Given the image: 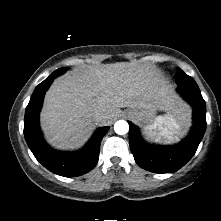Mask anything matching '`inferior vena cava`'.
<instances>
[{
    "label": "inferior vena cava",
    "mask_w": 221,
    "mask_h": 221,
    "mask_svg": "<svg viewBox=\"0 0 221 221\" xmlns=\"http://www.w3.org/2000/svg\"><path fill=\"white\" fill-rule=\"evenodd\" d=\"M93 118L96 122H101L106 118V115L104 113L97 112L94 114Z\"/></svg>",
    "instance_id": "1"
}]
</instances>
